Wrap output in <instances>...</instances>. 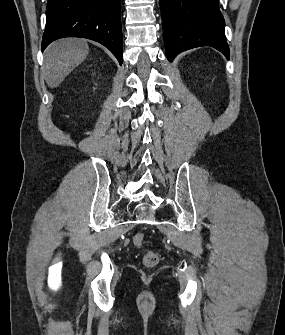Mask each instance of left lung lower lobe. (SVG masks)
<instances>
[{
  "instance_id": "obj_1",
  "label": "left lung lower lobe",
  "mask_w": 285,
  "mask_h": 335,
  "mask_svg": "<svg viewBox=\"0 0 285 335\" xmlns=\"http://www.w3.org/2000/svg\"><path fill=\"white\" fill-rule=\"evenodd\" d=\"M219 0H160L163 38L169 61L181 52L211 46L229 58Z\"/></svg>"
}]
</instances>
